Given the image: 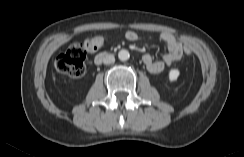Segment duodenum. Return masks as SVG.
<instances>
[{"label":"duodenum","instance_id":"obj_1","mask_svg":"<svg viewBox=\"0 0 244 157\" xmlns=\"http://www.w3.org/2000/svg\"><path fill=\"white\" fill-rule=\"evenodd\" d=\"M109 55V52H101L98 55H96L94 62L96 64H101L102 61Z\"/></svg>","mask_w":244,"mask_h":157}]
</instances>
